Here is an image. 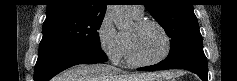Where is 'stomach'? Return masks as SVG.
Listing matches in <instances>:
<instances>
[{
	"mask_svg": "<svg viewBox=\"0 0 237 81\" xmlns=\"http://www.w3.org/2000/svg\"><path fill=\"white\" fill-rule=\"evenodd\" d=\"M171 76H160L151 81H173Z\"/></svg>",
	"mask_w": 237,
	"mask_h": 81,
	"instance_id": "obj_1",
	"label": "stomach"
}]
</instances>
